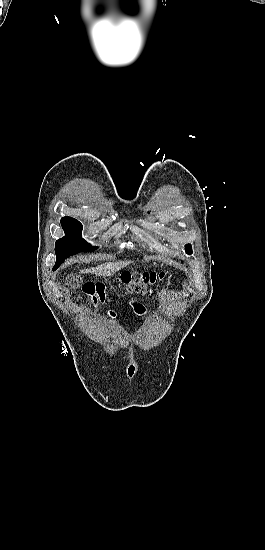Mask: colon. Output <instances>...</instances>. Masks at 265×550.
Instances as JSON below:
<instances>
[{
	"instance_id": "1",
	"label": "colon",
	"mask_w": 265,
	"mask_h": 550,
	"mask_svg": "<svg viewBox=\"0 0 265 550\" xmlns=\"http://www.w3.org/2000/svg\"><path fill=\"white\" fill-rule=\"evenodd\" d=\"M164 278L163 273L143 272V273H122L119 278V284L125 286L128 291L140 294L152 293L155 285ZM86 301L91 305H98L105 301L106 287L99 282L86 283L83 287Z\"/></svg>"
}]
</instances>
